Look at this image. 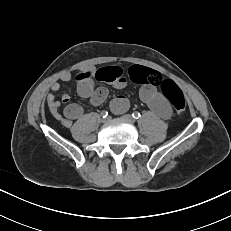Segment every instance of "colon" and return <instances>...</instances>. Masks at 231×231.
Listing matches in <instances>:
<instances>
[{
	"mask_svg": "<svg viewBox=\"0 0 231 231\" xmlns=\"http://www.w3.org/2000/svg\"><path fill=\"white\" fill-rule=\"evenodd\" d=\"M129 77L132 81L139 84L160 86L164 95L168 98L177 113H182L185 110L186 101L180 88L174 81L163 79L159 72L145 67L135 66L130 69Z\"/></svg>",
	"mask_w": 231,
	"mask_h": 231,
	"instance_id": "1",
	"label": "colon"
}]
</instances>
